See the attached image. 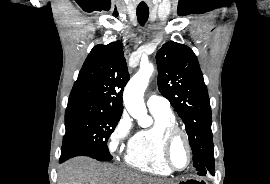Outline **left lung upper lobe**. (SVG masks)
I'll use <instances>...</instances> for the list:
<instances>
[{"mask_svg":"<svg viewBox=\"0 0 270 184\" xmlns=\"http://www.w3.org/2000/svg\"><path fill=\"white\" fill-rule=\"evenodd\" d=\"M158 88L183 120L193 152V166L214 172L211 107L198 59L187 46L173 41L156 55Z\"/></svg>","mask_w":270,"mask_h":184,"instance_id":"left-lung-upper-lobe-1","label":"left lung upper lobe"}]
</instances>
